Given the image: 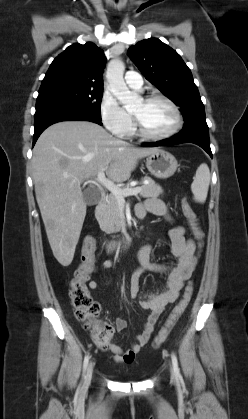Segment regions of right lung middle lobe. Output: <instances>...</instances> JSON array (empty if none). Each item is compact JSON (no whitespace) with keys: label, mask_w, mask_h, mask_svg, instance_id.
Returning a JSON list of instances; mask_svg holds the SVG:
<instances>
[{"label":"right lung middle lobe","mask_w":248,"mask_h":419,"mask_svg":"<svg viewBox=\"0 0 248 419\" xmlns=\"http://www.w3.org/2000/svg\"><path fill=\"white\" fill-rule=\"evenodd\" d=\"M103 89L58 86L39 90L36 111L56 107H74L101 118Z\"/></svg>","instance_id":"obj_1"}]
</instances>
